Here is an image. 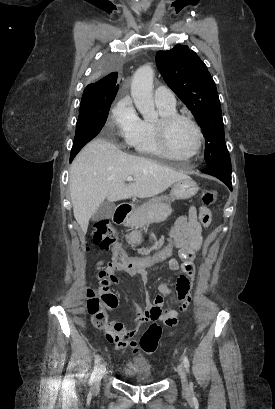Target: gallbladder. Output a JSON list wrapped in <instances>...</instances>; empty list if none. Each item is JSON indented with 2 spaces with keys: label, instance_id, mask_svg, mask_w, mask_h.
<instances>
[{
  "label": "gallbladder",
  "instance_id": "1",
  "mask_svg": "<svg viewBox=\"0 0 275 409\" xmlns=\"http://www.w3.org/2000/svg\"><path fill=\"white\" fill-rule=\"evenodd\" d=\"M114 202H102L97 213L92 215V221H103V219H111L113 213H115Z\"/></svg>",
  "mask_w": 275,
  "mask_h": 409
}]
</instances>
